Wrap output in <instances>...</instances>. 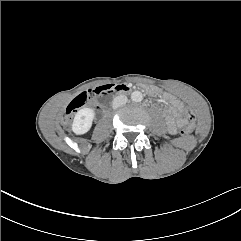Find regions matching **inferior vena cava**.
I'll list each match as a JSON object with an SVG mask.
<instances>
[{
  "label": "inferior vena cava",
  "instance_id": "inferior-vena-cava-1",
  "mask_svg": "<svg viewBox=\"0 0 241 241\" xmlns=\"http://www.w3.org/2000/svg\"><path fill=\"white\" fill-rule=\"evenodd\" d=\"M127 100L128 99L125 95H119V96L114 98L112 107L115 109V108H118L120 106H123L127 103Z\"/></svg>",
  "mask_w": 241,
  "mask_h": 241
}]
</instances>
